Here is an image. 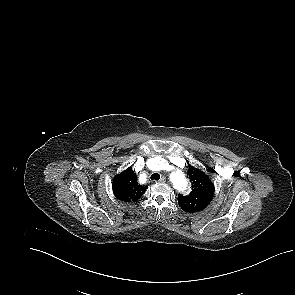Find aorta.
Here are the masks:
<instances>
[{"label":"aorta","instance_id":"obj_1","mask_svg":"<svg viewBox=\"0 0 295 295\" xmlns=\"http://www.w3.org/2000/svg\"><path fill=\"white\" fill-rule=\"evenodd\" d=\"M172 182H173L174 186L180 190L183 189L184 187H186V184H187V180H186L185 176L179 172L174 174V176L172 178Z\"/></svg>","mask_w":295,"mask_h":295}]
</instances>
